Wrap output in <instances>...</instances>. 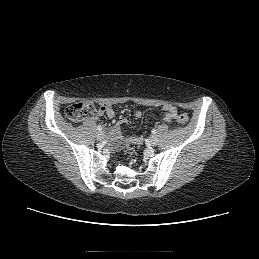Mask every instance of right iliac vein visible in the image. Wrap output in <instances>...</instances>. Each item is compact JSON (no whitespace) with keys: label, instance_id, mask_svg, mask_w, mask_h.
Returning a JSON list of instances; mask_svg holds the SVG:
<instances>
[{"label":"right iliac vein","instance_id":"right-iliac-vein-1","mask_svg":"<svg viewBox=\"0 0 259 259\" xmlns=\"http://www.w3.org/2000/svg\"><path fill=\"white\" fill-rule=\"evenodd\" d=\"M96 138L99 140V141H102L104 138H105V135L102 131H99L97 134H96Z\"/></svg>","mask_w":259,"mask_h":259}]
</instances>
